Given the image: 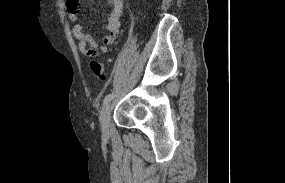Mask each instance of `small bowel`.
<instances>
[{"instance_id": "small-bowel-1", "label": "small bowel", "mask_w": 285, "mask_h": 183, "mask_svg": "<svg viewBox=\"0 0 285 183\" xmlns=\"http://www.w3.org/2000/svg\"><path fill=\"white\" fill-rule=\"evenodd\" d=\"M109 3L111 9L105 21L107 34L103 38L102 45H99L91 34L85 33L82 24L78 23L77 9L79 0L73 1V5L76 7L75 11H71L66 3L68 18L75 23L72 27V34L78 40V49L88 58H95L101 54L107 53L108 46L112 45L118 36L123 14V0H109Z\"/></svg>"}]
</instances>
